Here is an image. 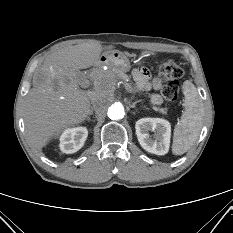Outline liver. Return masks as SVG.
Returning a JSON list of instances; mask_svg holds the SVG:
<instances>
[{
	"label": "liver",
	"mask_w": 233,
	"mask_h": 233,
	"mask_svg": "<svg viewBox=\"0 0 233 233\" xmlns=\"http://www.w3.org/2000/svg\"><path fill=\"white\" fill-rule=\"evenodd\" d=\"M103 47L97 41L61 47L49 54L34 74V87L24 104L25 132L29 143L42 149L66 128L83 122L90 111V99L79 88L76 72L96 64Z\"/></svg>",
	"instance_id": "1"
}]
</instances>
